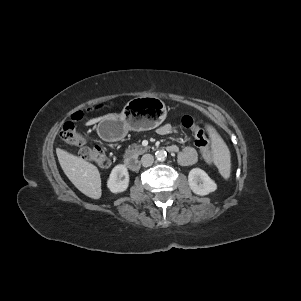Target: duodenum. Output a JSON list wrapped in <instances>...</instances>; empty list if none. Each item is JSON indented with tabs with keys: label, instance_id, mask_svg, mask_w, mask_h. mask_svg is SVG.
Returning a JSON list of instances; mask_svg holds the SVG:
<instances>
[{
	"label": "duodenum",
	"instance_id": "duodenum-1",
	"mask_svg": "<svg viewBox=\"0 0 301 301\" xmlns=\"http://www.w3.org/2000/svg\"><path fill=\"white\" fill-rule=\"evenodd\" d=\"M167 150L169 152H176L177 148L173 145L167 146ZM125 166L130 170H137L139 167V163L136 159L129 157L124 161Z\"/></svg>",
	"mask_w": 301,
	"mask_h": 301
}]
</instances>
